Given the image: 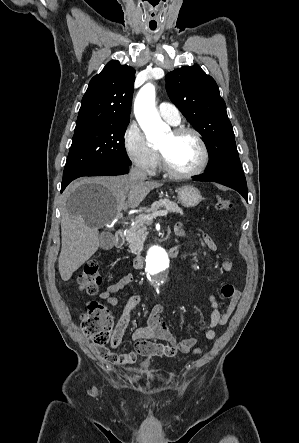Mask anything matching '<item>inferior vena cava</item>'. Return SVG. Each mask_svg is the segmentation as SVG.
I'll list each match as a JSON object with an SVG mask.
<instances>
[{
    "label": "inferior vena cava",
    "instance_id": "inferior-vena-cava-1",
    "mask_svg": "<svg viewBox=\"0 0 299 443\" xmlns=\"http://www.w3.org/2000/svg\"><path fill=\"white\" fill-rule=\"evenodd\" d=\"M129 176L131 180L136 181L147 179V174L145 173V171L138 167L132 168Z\"/></svg>",
    "mask_w": 299,
    "mask_h": 443
}]
</instances>
